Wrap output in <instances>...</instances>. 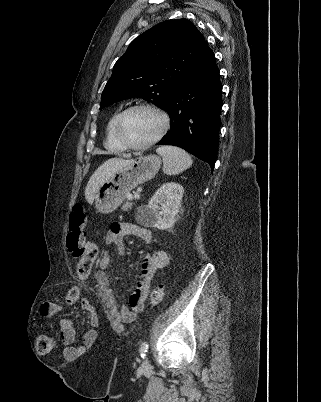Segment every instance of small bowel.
Here are the masks:
<instances>
[{
  "instance_id": "1",
  "label": "small bowel",
  "mask_w": 321,
  "mask_h": 402,
  "mask_svg": "<svg viewBox=\"0 0 321 402\" xmlns=\"http://www.w3.org/2000/svg\"><path fill=\"white\" fill-rule=\"evenodd\" d=\"M126 236L137 237L146 244H151L153 241V235L149 229L132 222H115L111 225L106 235L105 242L107 245L114 246L119 255H124L126 252L124 238ZM109 263L110 255L105 252L98 260L94 277L100 286L111 290L110 280L104 272V269L109 265ZM168 263L169 254L164 250H157L148 253L143 257L141 262V278L137 282L135 290L130 296L129 305H123L121 307L120 316L123 322L132 323L136 320L138 315L144 312L145 301L138 307H134L132 303L139 299H146L149 293L150 282L155 272L166 267ZM81 308L83 311H93L95 305L93 302H83ZM62 311L63 307L57 302H43L39 308L40 315L44 318L52 317ZM90 327L97 328L98 322L91 321ZM59 329L64 344V357L67 360L83 358L84 353H88L89 347H94L95 345V330H84L82 344L75 345V329L72 322L65 319L60 320Z\"/></svg>"
}]
</instances>
